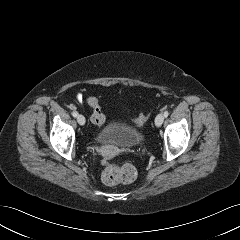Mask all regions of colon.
Here are the masks:
<instances>
[{
  "label": "colon",
  "mask_w": 240,
  "mask_h": 240,
  "mask_svg": "<svg viewBox=\"0 0 240 240\" xmlns=\"http://www.w3.org/2000/svg\"><path fill=\"white\" fill-rule=\"evenodd\" d=\"M88 105L92 108L91 121L98 127H101L105 122V116L101 110L98 99L89 97ZM149 118V115H140L134 120L136 124H143ZM137 177V169L134 165L126 163L123 165L110 164L102 173V180L106 185L113 186L120 183H130Z\"/></svg>",
  "instance_id": "5ec220e1"
}]
</instances>
